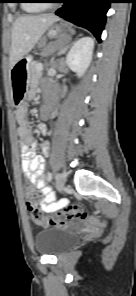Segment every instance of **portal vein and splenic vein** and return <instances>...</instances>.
<instances>
[{
    "label": "portal vein and splenic vein",
    "mask_w": 136,
    "mask_h": 296,
    "mask_svg": "<svg viewBox=\"0 0 136 296\" xmlns=\"http://www.w3.org/2000/svg\"><path fill=\"white\" fill-rule=\"evenodd\" d=\"M37 69H38L39 71H41V70L43 69L42 65H39V66L37 67Z\"/></svg>",
    "instance_id": "1"
}]
</instances>
